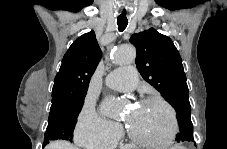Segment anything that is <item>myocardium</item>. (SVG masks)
<instances>
[{"label":"myocardium","mask_w":227,"mask_h":149,"mask_svg":"<svg viewBox=\"0 0 227 149\" xmlns=\"http://www.w3.org/2000/svg\"><path fill=\"white\" fill-rule=\"evenodd\" d=\"M144 103H159L163 105L164 107L167 108V110L170 113L171 120H172V129L170 134L163 140H149L145 139L138 134H136L130 125L126 126L127 133L130 137V139L137 145H142V146H151V147H159V146H168L170 145L175 137L178 134L179 131V123H178V118H177V113L174 109V107L165 99L158 97V96H149L142 98L139 101V105L144 104Z\"/></svg>","instance_id":"f54148a6"}]
</instances>
